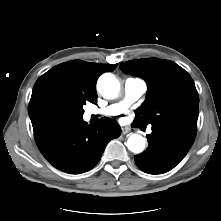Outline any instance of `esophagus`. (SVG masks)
I'll list each match as a JSON object with an SVG mask.
<instances>
[{
  "label": "esophagus",
  "instance_id": "obj_1",
  "mask_svg": "<svg viewBox=\"0 0 221 221\" xmlns=\"http://www.w3.org/2000/svg\"><path fill=\"white\" fill-rule=\"evenodd\" d=\"M130 132V128H128V127H122V133L123 134H127V133H129Z\"/></svg>",
  "mask_w": 221,
  "mask_h": 221
}]
</instances>
